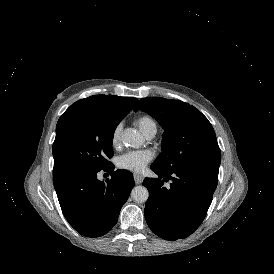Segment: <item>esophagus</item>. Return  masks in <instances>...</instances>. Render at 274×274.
Masks as SVG:
<instances>
[{
  "instance_id": "obj_1",
  "label": "esophagus",
  "mask_w": 274,
  "mask_h": 274,
  "mask_svg": "<svg viewBox=\"0 0 274 274\" xmlns=\"http://www.w3.org/2000/svg\"><path fill=\"white\" fill-rule=\"evenodd\" d=\"M134 180L136 184H140L144 180V176L140 174H134Z\"/></svg>"
}]
</instances>
